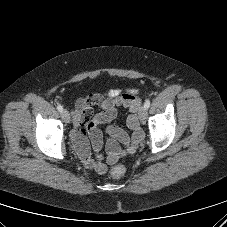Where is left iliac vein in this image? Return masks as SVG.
Instances as JSON below:
<instances>
[{
  "label": "left iliac vein",
  "instance_id": "obj_1",
  "mask_svg": "<svg viewBox=\"0 0 227 227\" xmlns=\"http://www.w3.org/2000/svg\"><path fill=\"white\" fill-rule=\"evenodd\" d=\"M138 117L141 122H144L147 119V109L144 106L139 109Z\"/></svg>",
  "mask_w": 227,
  "mask_h": 227
}]
</instances>
